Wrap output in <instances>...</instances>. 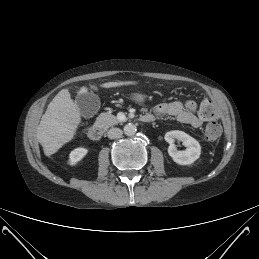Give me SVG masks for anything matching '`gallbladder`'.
I'll return each mask as SVG.
<instances>
[{
	"mask_svg": "<svg viewBox=\"0 0 259 259\" xmlns=\"http://www.w3.org/2000/svg\"><path fill=\"white\" fill-rule=\"evenodd\" d=\"M78 106L81 109V115L86 120H91L95 117L96 111L100 107V99L98 95L90 92L77 99Z\"/></svg>",
	"mask_w": 259,
	"mask_h": 259,
	"instance_id": "gallbladder-1",
	"label": "gallbladder"
}]
</instances>
